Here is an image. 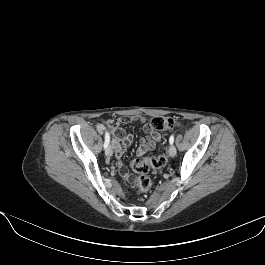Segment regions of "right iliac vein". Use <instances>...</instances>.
I'll return each mask as SVG.
<instances>
[{
  "label": "right iliac vein",
  "instance_id": "1",
  "mask_svg": "<svg viewBox=\"0 0 265 265\" xmlns=\"http://www.w3.org/2000/svg\"><path fill=\"white\" fill-rule=\"evenodd\" d=\"M106 156L111 157L113 155V148L109 146L105 151Z\"/></svg>",
  "mask_w": 265,
  "mask_h": 265
}]
</instances>
